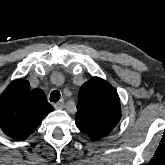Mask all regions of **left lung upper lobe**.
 Instances as JSON below:
<instances>
[{"mask_svg": "<svg viewBox=\"0 0 165 165\" xmlns=\"http://www.w3.org/2000/svg\"><path fill=\"white\" fill-rule=\"evenodd\" d=\"M78 97L75 114L78 129L93 140L108 135L121 118L116 90L103 79L94 77L81 86Z\"/></svg>", "mask_w": 165, "mask_h": 165, "instance_id": "5c2ea615", "label": "left lung upper lobe"}]
</instances>
